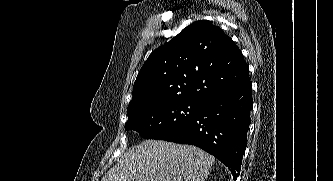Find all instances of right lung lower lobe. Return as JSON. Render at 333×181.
<instances>
[{"mask_svg": "<svg viewBox=\"0 0 333 181\" xmlns=\"http://www.w3.org/2000/svg\"><path fill=\"white\" fill-rule=\"evenodd\" d=\"M252 104L251 81L211 95L201 102L193 119L166 141L202 148L227 166L236 180L247 146Z\"/></svg>", "mask_w": 333, "mask_h": 181, "instance_id": "right-lung-lower-lobe-1", "label": "right lung lower lobe"}]
</instances>
